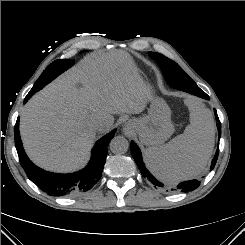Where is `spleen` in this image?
<instances>
[{"label":"spleen","mask_w":245,"mask_h":245,"mask_svg":"<svg viewBox=\"0 0 245 245\" xmlns=\"http://www.w3.org/2000/svg\"><path fill=\"white\" fill-rule=\"evenodd\" d=\"M190 124L183 134L159 147H149L145 160L160 180L177 183L193 179L206 167L214 147L211 111L197 100H189Z\"/></svg>","instance_id":"spleen-1"}]
</instances>
